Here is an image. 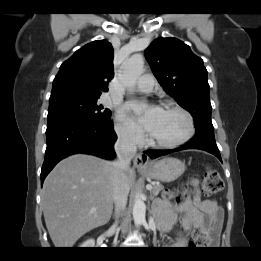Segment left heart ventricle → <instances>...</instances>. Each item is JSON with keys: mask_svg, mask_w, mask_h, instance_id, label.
Wrapping results in <instances>:
<instances>
[{"mask_svg": "<svg viewBox=\"0 0 261 261\" xmlns=\"http://www.w3.org/2000/svg\"><path fill=\"white\" fill-rule=\"evenodd\" d=\"M186 123L182 115L170 110H161L150 138L157 141H173L184 134Z\"/></svg>", "mask_w": 261, "mask_h": 261, "instance_id": "obj_1", "label": "left heart ventricle"}]
</instances>
